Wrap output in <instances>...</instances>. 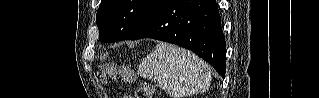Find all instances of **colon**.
<instances>
[{
	"label": "colon",
	"instance_id": "colon-1",
	"mask_svg": "<svg viewBox=\"0 0 319 98\" xmlns=\"http://www.w3.org/2000/svg\"><path fill=\"white\" fill-rule=\"evenodd\" d=\"M115 70V67L111 64H107L105 66V71L110 74L113 75ZM152 92H153V86L150 83H142L137 91H136V98H152Z\"/></svg>",
	"mask_w": 319,
	"mask_h": 98
}]
</instances>
